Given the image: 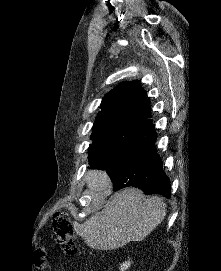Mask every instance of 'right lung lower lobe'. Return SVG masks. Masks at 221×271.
<instances>
[{"label": "right lung lower lobe", "instance_id": "1", "mask_svg": "<svg viewBox=\"0 0 221 271\" xmlns=\"http://www.w3.org/2000/svg\"><path fill=\"white\" fill-rule=\"evenodd\" d=\"M155 141L153 128L129 156L106 169L115 191L132 186L141 189L146 195L171 197L170 181L163 171Z\"/></svg>", "mask_w": 221, "mask_h": 271}]
</instances>
